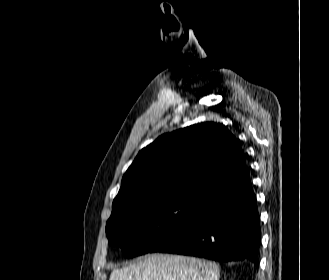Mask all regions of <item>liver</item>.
Here are the masks:
<instances>
[{
  "label": "liver",
  "instance_id": "6515ba94",
  "mask_svg": "<svg viewBox=\"0 0 329 280\" xmlns=\"http://www.w3.org/2000/svg\"><path fill=\"white\" fill-rule=\"evenodd\" d=\"M217 264L171 254H152L122 269H114L109 280H219Z\"/></svg>",
  "mask_w": 329,
  "mask_h": 280
}]
</instances>
